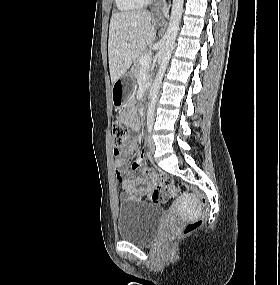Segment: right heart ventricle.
<instances>
[{"label": "right heart ventricle", "instance_id": "e07e8e85", "mask_svg": "<svg viewBox=\"0 0 280 285\" xmlns=\"http://www.w3.org/2000/svg\"><path fill=\"white\" fill-rule=\"evenodd\" d=\"M147 3V0H115L118 10L122 12L135 11Z\"/></svg>", "mask_w": 280, "mask_h": 285}]
</instances>
